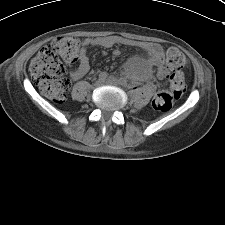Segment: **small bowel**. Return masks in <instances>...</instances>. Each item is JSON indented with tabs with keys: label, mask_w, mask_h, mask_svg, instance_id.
I'll use <instances>...</instances> for the list:
<instances>
[{
	"label": "small bowel",
	"mask_w": 225,
	"mask_h": 225,
	"mask_svg": "<svg viewBox=\"0 0 225 225\" xmlns=\"http://www.w3.org/2000/svg\"><path fill=\"white\" fill-rule=\"evenodd\" d=\"M117 43V40L114 37H99V38H85L82 41V48L79 53V66L76 70L70 73L72 80H78L88 73L90 69L89 59L87 56V49L91 46H100L104 49L113 47ZM141 48L148 54L149 58L146 61V67L150 66H161L163 63V51L162 48L155 43H144L141 45ZM103 54H105L103 52ZM121 54L120 49H115L113 51L114 56H119ZM128 74L137 78L142 74V71L139 67L132 66L128 70Z\"/></svg>",
	"instance_id": "small-bowel-1"
}]
</instances>
